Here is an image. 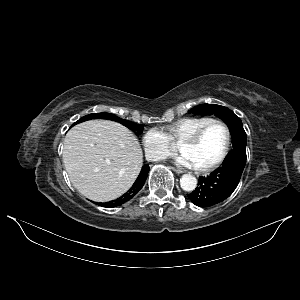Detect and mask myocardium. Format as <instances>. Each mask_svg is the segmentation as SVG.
Segmentation results:
<instances>
[{"label":"myocardium","mask_w":300,"mask_h":300,"mask_svg":"<svg viewBox=\"0 0 300 300\" xmlns=\"http://www.w3.org/2000/svg\"><path fill=\"white\" fill-rule=\"evenodd\" d=\"M212 125H221L225 129V132H226L225 148H224L221 156L215 162H213L207 166H204V167H195L196 171H198L199 173L211 172V171L217 169L219 166H221L224 163V161L227 159L229 152H230L231 140H232L231 130H230L229 126L222 120L213 119V120L209 121L208 123L204 124L203 126H201L199 129H197L189 137H187L185 140H183L180 143V149L183 146L195 145L201 139V137L203 136L205 131Z\"/></svg>","instance_id":"1"}]
</instances>
